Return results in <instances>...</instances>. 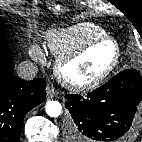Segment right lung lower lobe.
Listing matches in <instances>:
<instances>
[{
  "instance_id": "1",
  "label": "right lung lower lobe",
  "mask_w": 142,
  "mask_h": 142,
  "mask_svg": "<svg viewBox=\"0 0 142 142\" xmlns=\"http://www.w3.org/2000/svg\"><path fill=\"white\" fill-rule=\"evenodd\" d=\"M11 51L0 49V142H19L24 116L46 98V82L14 75Z\"/></svg>"
}]
</instances>
